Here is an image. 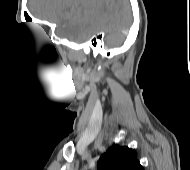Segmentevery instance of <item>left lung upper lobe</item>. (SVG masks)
Returning a JSON list of instances; mask_svg holds the SVG:
<instances>
[{
  "label": "left lung upper lobe",
  "instance_id": "5c2ea615",
  "mask_svg": "<svg viewBox=\"0 0 190 170\" xmlns=\"http://www.w3.org/2000/svg\"><path fill=\"white\" fill-rule=\"evenodd\" d=\"M98 170H144L134 149L115 145L104 153L97 164Z\"/></svg>",
  "mask_w": 190,
  "mask_h": 170
}]
</instances>
